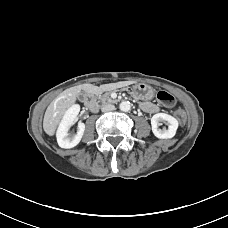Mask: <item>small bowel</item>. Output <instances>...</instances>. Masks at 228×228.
I'll return each mask as SVG.
<instances>
[{
	"mask_svg": "<svg viewBox=\"0 0 228 228\" xmlns=\"http://www.w3.org/2000/svg\"><path fill=\"white\" fill-rule=\"evenodd\" d=\"M141 108L150 114L156 113L159 111V107L157 104L153 103V102H144L141 104Z\"/></svg>",
	"mask_w": 228,
	"mask_h": 228,
	"instance_id": "1",
	"label": "small bowel"
}]
</instances>
